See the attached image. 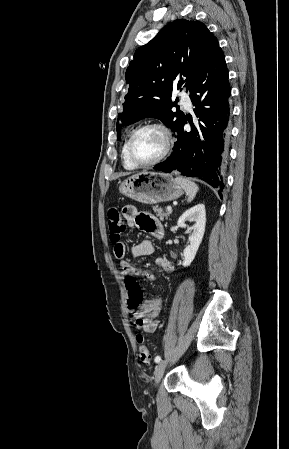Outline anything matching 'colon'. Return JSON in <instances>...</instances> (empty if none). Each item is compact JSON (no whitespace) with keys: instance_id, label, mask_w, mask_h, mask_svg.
Instances as JSON below:
<instances>
[{"instance_id":"colon-1","label":"colon","mask_w":289,"mask_h":449,"mask_svg":"<svg viewBox=\"0 0 289 449\" xmlns=\"http://www.w3.org/2000/svg\"><path fill=\"white\" fill-rule=\"evenodd\" d=\"M108 227L110 239L112 242H119L123 236L126 224L122 217L121 212L117 208H111L108 211ZM128 292H129V307L135 312L139 309L142 302V290L137 281L128 277L125 280ZM136 341L138 343V356L141 362L148 363L150 361V352L145 345V339L142 334H137Z\"/></svg>"}]
</instances>
